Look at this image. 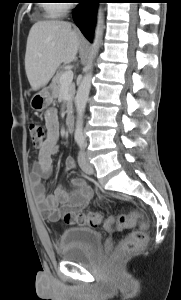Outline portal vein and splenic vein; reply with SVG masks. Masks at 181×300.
Returning a JSON list of instances; mask_svg holds the SVG:
<instances>
[{"label":"portal vein and splenic vein","mask_w":181,"mask_h":300,"mask_svg":"<svg viewBox=\"0 0 181 300\" xmlns=\"http://www.w3.org/2000/svg\"><path fill=\"white\" fill-rule=\"evenodd\" d=\"M73 71H65L60 78V82L63 86H67L72 83Z\"/></svg>","instance_id":"obj_1"}]
</instances>
